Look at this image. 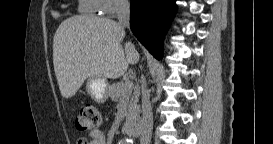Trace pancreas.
I'll return each mask as SVG.
<instances>
[{"mask_svg":"<svg viewBox=\"0 0 273 144\" xmlns=\"http://www.w3.org/2000/svg\"><path fill=\"white\" fill-rule=\"evenodd\" d=\"M129 81V80H126ZM126 81H120L116 84H112L108 88V95L112 101H119L123 98L127 101L128 113L126 116V122H132L140 112V106L138 105L139 91L137 87H133L131 90L126 88ZM134 93L131 96L132 90Z\"/></svg>","mask_w":273,"mask_h":144,"instance_id":"cf45deb5","label":"pancreas"}]
</instances>
